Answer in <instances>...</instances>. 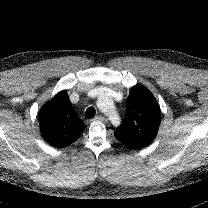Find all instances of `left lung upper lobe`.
<instances>
[{"label":"left lung upper lobe","mask_w":208,"mask_h":208,"mask_svg":"<svg viewBox=\"0 0 208 208\" xmlns=\"http://www.w3.org/2000/svg\"><path fill=\"white\" fill-rule=\"evenodd\" d=\"M126 106L125 117L114 136L127 147L140 149L155 139L161 122V110L151 92L140 84L131 88Z\"/></svg>","instance_id":"1"}]
</instances>
